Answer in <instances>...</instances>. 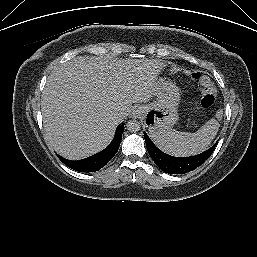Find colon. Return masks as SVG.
Returning <instances> with one entry per match:
<instances>
[{
	"label": "colon",
	"instance_id": "1",
	"mask_svg": "<svg viewBox=\"0 0 257 257\" xmlns=\"http://www.w3.org/2000/svg\"><path fill=\"white\" fill-rule=\"evenodd\" d=\"M194 80L200 86V106L202 108H210L216 99L217 88L211 79L199 72L193 74Z\"/></svg>",
	"mask_w": 257,
	"mask_h": 257
}]
</instances>
